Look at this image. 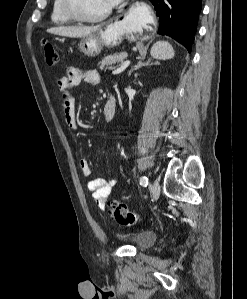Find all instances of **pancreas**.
<instances>
[{"label":"pancreas","mask_w":247,"mask_h":299,"mask_svg":"<svg viewBox=\"0 0 247 299\" xmlns=\"http://www.w3.org/2000/svg\"><path fill=\"white\" fill-rule=\"evenodd\" d=\"M126 58L127 54L125 52L115 53L113 55L104 57L101 61H99L98 66L100 70H103L104 68H108L114 64L122 62Z\"/></svg>","instance_id":"1"}]
</instances>
